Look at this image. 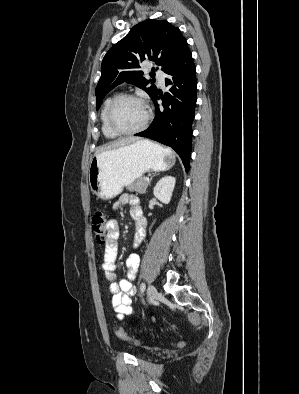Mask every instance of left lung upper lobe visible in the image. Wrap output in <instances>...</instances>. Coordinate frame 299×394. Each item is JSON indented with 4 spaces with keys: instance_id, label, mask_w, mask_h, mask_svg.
Masks as SVG:
<instances>
[{
    "instance_id": "left-lung-upper-lobe-1",
    "label": "left lung upper lobe",
    "mask_w": 299,
    "mask_h": 394,
    "mask_svg": "<svg viewBox=\"0 0 299 394\" xmlns=\"http://www.w3.org/2000/svg\"><path fill=\"white\" fill-rule=\"evenodd\" d=\"M186 45L180 30L166 20L148 19L135 25L103 58L95 92L96 109L110 90L126 81L143 89L153 99L157 88L154 85L148 87L150 81L143 77L140 63L151 60L164 71Z\"/></svg>"
}]
</instances>
